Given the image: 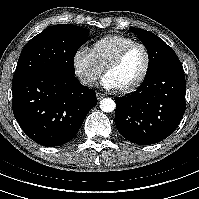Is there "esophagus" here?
<instances>
[{"mask_svg":"<svg viewBox=\"0 0 199 199\" xmlns=\"http://www.w3.org/2000/svg\"><path fill=\"white\" fill-rule=\"evenodd\" d=\"M96 97H97L98 100H101V99H103L105 97V95L102 94V93L97 92L96 93Z\"/></svg>","mask_w":199,"mask_h":199,"instance_id":"34e87169","label":"esophagus"}]
</instances>
